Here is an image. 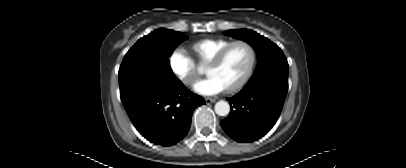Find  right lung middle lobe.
<instances>
[{"label": "right lung middle lobe", "instance_id": "dd1d6c3e", "mask_svg": "<svg viewBox=\"0 0 406 168\" xmlns=\"http://www.w3.org/2000/svg\"><path fill=\"white\" fill-rule=\"evenodd\" d=\"M186 39L180 32L162 28L140 38L127 52L119 69L122 103L175 81L168 57Z\"/></svg>", "mask_w": 406, "mask_h": 168}]
</instances>
